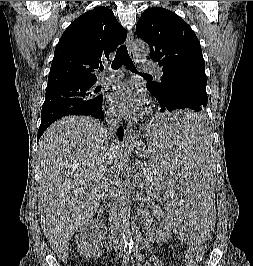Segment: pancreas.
I'll list each match as a JSON object with an SVG mask.
<instances>
[{"label":"pancreas","instance_id":"cf45deb5","mask_svg":"<svg viewBox=\"0 0 253 266\" xmlns=\"http://www.w3.org/2000/svg\"><path fill=\"white\" fill-rule=\"evenodd\" d=\"M145 182L148 186L152 184V182L148 179V177H145Z\"/></svg>","mask_w":253,"mask_h":266}]
</instances>
